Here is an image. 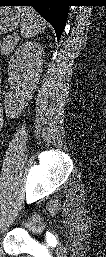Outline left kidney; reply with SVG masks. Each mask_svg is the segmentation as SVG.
Returning <instances> with one entry per match:
<instances>
[{
  "label": "left kidney",
  "instance_id": "left-kidney-1",
  "mask_svg": "<svg viewBox=\"0 0 106 257\" xmlns=\"http://www.w3.org/2000/svg\"><path fill=\"white\" fill-rule=\"evenodd\" d=\"M43 54L41 45L30 41L19 46L11 56L8 65L9 82L18 85L14 95L9 93L5 97L7 112L17 115L30 98L42 72Z\"/></svg>",
  "mask_w": 106,
  "mask_h": 257
}]
</instances>
